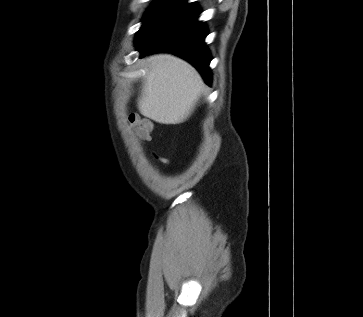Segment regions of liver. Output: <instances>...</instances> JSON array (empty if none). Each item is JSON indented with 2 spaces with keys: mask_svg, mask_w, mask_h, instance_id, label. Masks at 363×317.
<instances>
[{
  "mask_svg": "<svg viewBox=\"0 0 363 317\" xmlns=\"http://www.w3.org/2000/svg\"><path fill=\"white\" fill-rule=\"evenodd\" d=\"M149 67L138 109L161 124L186 121L204 92V82L188 62L171 54H155L146 59Z\"/></svg>",
  "mask_w": 363,
  "mask_h": 317,
  "instance_id": "1",
  "label": "liver"
}]
</instances>
